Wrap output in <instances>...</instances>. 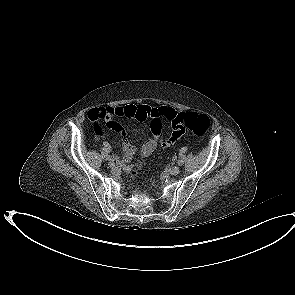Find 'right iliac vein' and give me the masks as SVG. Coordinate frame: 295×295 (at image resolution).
<instances>
[{
  "label": "right iliac vein",
  "mask_w": 295,
  "mask_h": 295,
  "mask_svg": "<svg viewBox=\"0 0 295 295\" xmlns=\"http://www.w3.org/2000/svg\"><path fill=\"white\" fill-rule=\"evenodd\" d=\"M109 166H110L111 168H114V167H115V163L112 162V161H110V162H109Z\"/></svg>",
  "instance_id": "right-iliac-vein-1"
}]
</instances>
